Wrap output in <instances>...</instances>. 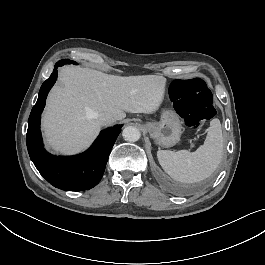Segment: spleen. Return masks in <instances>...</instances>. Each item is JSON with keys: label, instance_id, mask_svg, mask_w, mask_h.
<instances>
[{"label": "spleen", "instance_id": "obj_1", "mask_svg": "<svg viewBox=\"0 0 265 265\" xmlns=\"http://www.w3.org/2000/svg\"><path fill=\"white\" fill-rule=\"evenodd\" d=\"M223 154V136L219 119L209 123L205 141L195 152L158 150L160 165L172 178L194 183L210 176L218 167Z\"/></svg>", "mask_w": 265, "mask_h": 265}]
</instances>
